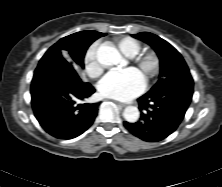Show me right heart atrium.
Returning <instances> with one entry per match:
<instances>
[{
	"instance_id": "obj_1",
	"label": "right heart atrium",
	"mask_w": 222,
	"mask_h": 187,
	"mask_svg": "<svg viewBox=\"0 0 222 187\" xmlns=\"http://www.w3.org/2000/svg\"><path fill=\"white\" fill-rule=\"evenodd\" d=\"M99 44L93 43L85 52L83 65L86 73L91 77H97L102 73V66L97 59Z\"/></svg>"
}]
</instances>
